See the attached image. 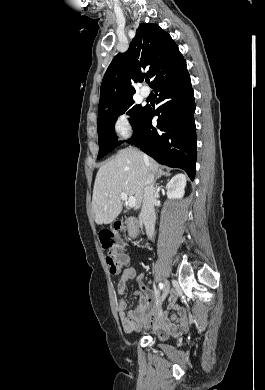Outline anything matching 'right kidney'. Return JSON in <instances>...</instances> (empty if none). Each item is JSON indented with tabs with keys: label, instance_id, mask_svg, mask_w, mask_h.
I'll list each match as a JSON object with an SVG mask.
<instances>
[{
	"label": "right kidney",
	"instance_id": "right-kidney-1",
	"mask_svg": "<svg viewBox=\"0 0 265 390\" xmlns=\"http://www.w3.org/2000/svg\"><path fill=\"white\" fill-rule=\"evenodd\" d=\"M186 176L184 174L175 175L166 185L169 199H181L185 193Z\"/></svg>",
	"mask_w": 265,
	"mask_h": 390
}]
</instances>
